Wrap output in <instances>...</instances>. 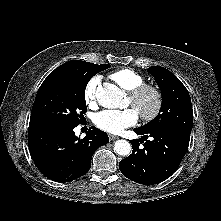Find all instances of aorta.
<instances>
[{
    "label": "aorta",
    "mask_w": 221,
    "mask_h": 221,
    "mask_svg": "<svg viewBox=\"0 0 221 221\" xmlns=\"http://www.w3.org/2000/svg\"><path fill=\"white\" fill-rule=\"evenodd\" d=\"M123 92L112 84H105L96 92L98 103L105 108H118L122 104ZM131 144L126 140H117L114 143V151L118 155L127 156L131 152Z\"/></svg>",
    "instance_id": "762f6f07"
}]
</instances>
